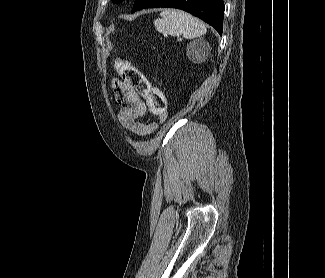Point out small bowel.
Masks as SVG:
<instances>
[{
	"label": "small bowel",
	"instance_id": "small-bowel-1",
	"mask_svg": "<svg viewBox=\"0 0 325 278\" xmlns=\"http://www.w3.org/2000/svg\"><path fill=\"white\" fill-rule=\"evenodd\" d=\"M111 87L116 101L121 105L118 119L132 133L146 136L156 129L158 121L165 119L166 114L164 113L159 116L158 121L143 122L147 106L141 95L131 85L119 79H113Z\"/></svg>",
	"mask_w": 325,
	"mask_h": 278
}]
</instances>
